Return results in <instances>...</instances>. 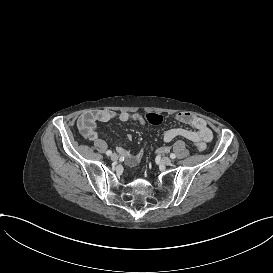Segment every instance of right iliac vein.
Returning a JSON list of instances; mask_svg holds the SVG:
<instances>
[{
    "mask_svg": "<svg viewBox=\"0 0 273 273\" xmlns=\"http://www.w3.org/2000/svg\"><path fill=\"white\" fill-rule=\"evenodd\" d=\"M118 155L116 154V153H113L112 155H111V160L112 161H117L118 160Z\"/></svg>",
    "mask_w": 273,
    "mask_h": 273,
    "instance_id": "right-iliac-vein-1",
    "label": "right iliac vein"
}]
</instances>
